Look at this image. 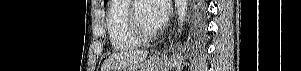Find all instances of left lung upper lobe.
<instances>
[{
	"mask_svg": "<svg viewBox=\"0 0 301 71\" xmlns=\"http://www.w3.org/2000/svg\"><path fill=\"white\" fill-rule=\"evenodd\" d=\"M107 1H108V0H105V1H104V5H106ZM202 37H203V36H201V35L195 34L194 31H193V29H192V38H193V39L198 40V39H201Z\"/></svg>",
	"mask_w": 301,
	"mask_h": 71,
	"instance_id": "1",
	"label": "left lung upper lobe"
}]
</instances>
